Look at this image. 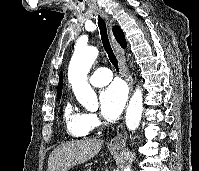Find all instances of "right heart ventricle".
<instances>
[{
    "mask_svg": "<svg viewBox=\"0 0 199 171\" xmlns=\"http://www.w3.org/2000/svg\"><path fill=\"white\" fill-rule=\"evenodd\" d=\"M64 122L68 133L76 138H85L89 130L85 124V114L76 110L71 102L64 106Z\"/></svg>",
    "mask_w": 199,
    "mask_h": 171,
    "instance_id": "right-heart-ventricle-1",
    "label": "right heart ventricle"
}]
</instances>
